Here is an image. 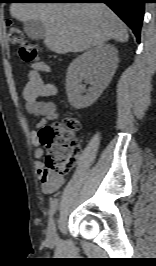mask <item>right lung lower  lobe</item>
<instances>
[{"mask_svg": "<svg viewBox=\"0 0 156 266\" xmlns=\"http://www.w3.org/2000/svg\"><path fill=\"white\" fill-rule=\"evenodd\" d=\"M59 3H105L133 31L137 41L140 39L141 25L144 17L146 0H46Z\"/></svg>", "mask_w": 156, "mask_h": 266, "instance_id": "1", "label": "right lung lower lobe"}]
</instances>
